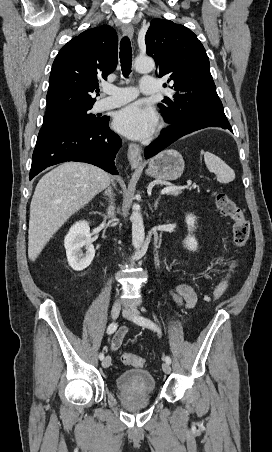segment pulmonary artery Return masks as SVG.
I'll list each match as a JSON object with an SVG mask.
<instances>
[{
	"mask_svg": "<svg viewBox=\"0 0 272 452\" xmlns=\"http://www.w3.org/2000/svg\"><path fill=\"white\" fill-rule=\"evenodd\" d=\"M141 90L143 94H156L158 92L157 79L154 77L142 78ZM103 92L108 96L96 102L95 109L97 111L119 107L136 97V92L132 87L104 86Z\"/></svg>",
	"mask_w": 272,
	"mask_h": 452,
	"instance_id": "1",
	"label": "pulmonary artery"
}]
</instances>
